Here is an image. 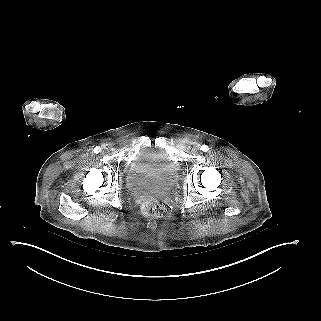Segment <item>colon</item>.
I'll use <instances>...</instances> for the list:
<instances>
[{
    "label": "colon",
    "instance_id": "colon-1",
    "mask_svg": "<svg viewBox=\"0 0 321 321\" xmlns=\"http://www.w3.org/2000/svg\"><path fill=\"white\" fill-rule=\"evenodd\" d=\"M142 209L147 215L156 218L165 217L170 212L169 206L161 200L147 201L142 205Z\"/></svg>",
    "mask_w": 321,
    "mask_h": 321
}]
</instances>
